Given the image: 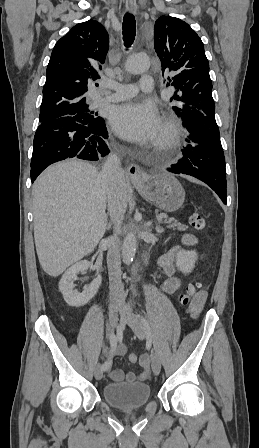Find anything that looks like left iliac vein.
<instances>
[{"label":"left iliac vein","mask_w":259,"mask_h":448,"mask_svg":"<svg viewBox=\"0 0 259 448\" xmlns=\"http://www.w3.org/2000/svg\"><path fill=\"white\" fill-rule=\"evenodd\" d=\"M119 310L122 320L129 325L135 335L141 340L145 339L147 336V329L139 315L132 312L124 302L121 303ZM152 370L155 375H158L161 370V361L156 353L152 357Z\"/></svg>","instance_id":"4c4485c4"}]
</instances>
